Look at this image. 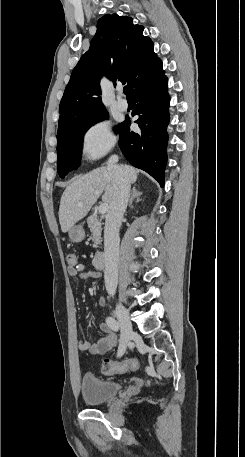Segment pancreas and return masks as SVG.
I'll list each match as a JSON object with an SVG mask.
<instances>
[{
    "label": "pancreas",
    "instance_id": "1",
    "mask_svg": "<svg viewBox=\"0 0 245 457\" xmlns=\"http://www.w3.org/2000/svg\"><path fill=\"white\" fill-rule=\"evenodd\" d=\"M88 226L90 229V233H92V241H94L93 247L98 249L99 245H101V231H102V222L98 220V216H88L87 218Z\"/></svg>",
    "mask_w": 245,
    "mask_h": 457
}]
</instances>
